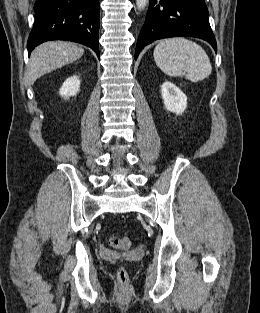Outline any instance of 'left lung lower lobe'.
I'll list each match as a JSON object with an SVG mask.
<instances>
[{
  "mask_svg": "<svg viewBox=\"0 0 260 313\" xmlns=\"http://www.w3.org/2000/svg\"><path fill=\"white\" fill-rule=\"evenodd\" d=\"M175 36L201 38L217 50L204 0H150L137 41L135 59L147 44Z\"/></svg>",
  "mask_w": 260,
  "mask_h": 313,
  "instance_id": "obj_1",
  "label": "left lung lower lobe"
}]
</instances>
